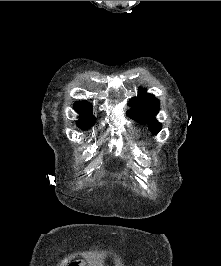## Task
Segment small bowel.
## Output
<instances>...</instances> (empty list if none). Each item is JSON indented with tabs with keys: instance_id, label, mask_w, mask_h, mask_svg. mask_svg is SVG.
Instances as JSON below:
<instances>
[{
	"instance_id": "c3829d8e",
	"label": "small bowel",
	"mask_w": 221,
	"mask_h": 266,
	"mask_svg": "<svg viewBox=\"0 0 221 266\" xmlns=\"http://www.w3.org/2000/svg\"><path fill=\"white\" fill-rule=\"evenodd\" d=\"M69 256H72V253H69ZM79 258H72V263H70V266H78Z\"/></svg>"
}]
</instances>
